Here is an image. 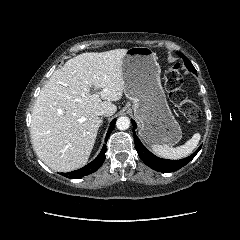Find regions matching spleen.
I'll return each instance as SVG.
<instances>
[{
	"mask_svg": "<svg viewBox=\"0 0 240 240\" xmlns=\"http://www.w3.org/2000/svg\"><path fill=\"white\" fill-rule=\"evenodd\" d=\"M200 138L201 135L199 133H195L184 145L171 148L165 145L153 144L151 145V148L156 155L162 158L180 159L193 152V150L197 147Z\"/></svg>",
	"mask_w": 240,
	"mask_h": 240,
	"instance_id": "3e777b00",
	"label": "spleen"
}]
</instances>
